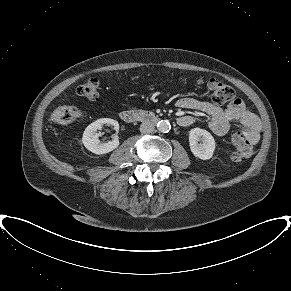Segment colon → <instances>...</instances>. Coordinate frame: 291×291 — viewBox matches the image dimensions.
<instances>
[{
    "label": "colon",
    "mask_w": 291,
    "mask_h": 291,
    "mask_svg": "<svg viewBox=\"0 0 291 291\" xmlns=\"http://www.w3.org/2000/svg\"><path fill=\"white\" fill-rule=\"evenodd\" d=\"M198 84L206 85L214 104L222 105L234 99L235 91L233 88L217 79H198ZM77 95L90 101H95L99 97V81L96 78H88L76 89ZM81 112L73 106H58L52 113V120L61 125H68L78 120ZM231 144L234 150L231 159L240 161L247 159L253 154L252 144L244 137L241 132H236L231 136Z\"/></svg>",
    "instance_id": "1"
}]
</instances>
